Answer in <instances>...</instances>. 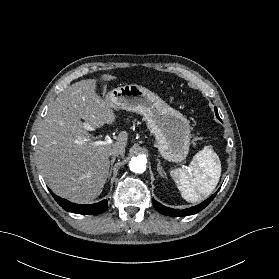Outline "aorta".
I'll use <instances>...</instances> for the list:
<instances>
[{
    "instance_id": "aorta-1",
    "label": "aorta",
    "mask_w": 279,
    "mask_h": 279,
    "mask_svg": "<svg viewBox=\"0 0 279 279\" xmlns=\"http://www.w3.org/2000/svg\"><path fill=\"white\" fill-rule=\"evenodd\" d=\"M129 168L134 173H143L146 170V162L142 157H133L129 163Z\"/></svg>"
}]
</instances>
